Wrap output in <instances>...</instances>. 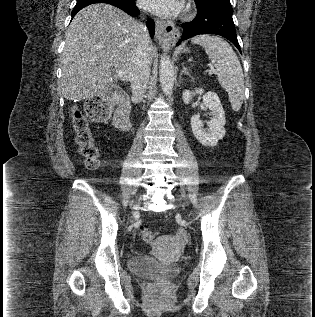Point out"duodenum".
I'll return each instance as SVG.
<instances>
[{
  "label": "duodenum",
  "mask_w": 315,
  "mask_h": 317,
  "mask_svg": "<svg viewBox=\"0 0 315 317\" xmlns=\"http://www.w3.org/2000/svg\"><path fill=\"white\" fill-rule=\"evenodd\" d=\"M119 100V108L116 112L114 123L115 126L124 132H127L130 130L131 123H130V104L128 99L124 95L118 96Z\"/></svg>",
  "instance_id": "1"
}]
</instances>
